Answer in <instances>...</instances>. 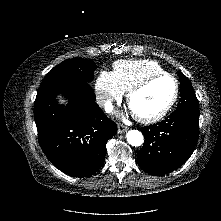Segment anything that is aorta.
<instances>
[{
  "instance_id": "1",
  "label": "aorta",
  "mask_w": 221,
  "mask_h": 221,
  "mask_svg": "<svg viewBox=\"0 0 221 221\" xmlns=\"http://www.w3.org/2000/svg\"><path fill=\"white\" fill-rule=\"evenodd\" d=\"M127 141L131 146L139 147L144 142L143 134L138 130H129L126 135Z\"/></svg>"
}]
</instances>
